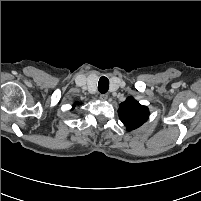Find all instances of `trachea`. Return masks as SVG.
Here are the masks:
<instances>
[{"label": "trachea", "mask_w": 201, "mask_h": 201, "mask_svg": "<svg viewBox=\"0 0 201 201\" xmlns=\"http://www.w3.org/2000/svg\"><path fill=\"white\" fill-rule=\"evenodd\" d=\"M109 89V80L106 77H101L98 82V90L100 93L104 94Z\"/></svg>", "instance_id": "3493384b"}]
</instances>
